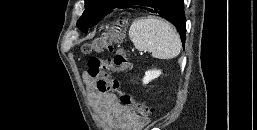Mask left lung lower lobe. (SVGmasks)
Segmentation results:
<instances>
[{"instance_id": "1", "label": "left lung lower lobe", "mask_w": 257, "mask_h": 130, "mask_svg": "<svg viewBox=\"0 0 257 130\" xmlns=\"http://www.w3.org/2000/svg\"><path fill=\"white\" fill-rule=\"evenodd\" d=\"M133 4L146 7L149 12L156 13L177 27L182 44H185L186 20L183 0H129L125 5Z\"/></svg>"}]
</instances>
